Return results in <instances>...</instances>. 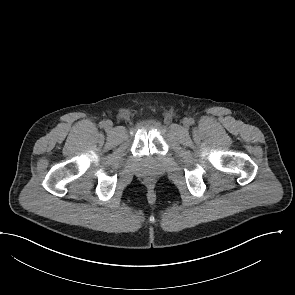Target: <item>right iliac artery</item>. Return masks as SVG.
I'll return each instance as SVG.
<instances>
[{"label":"right iliac artery","mask_w":295,"mask_h":295,"mask_svg":"<svg viewBox=\"0 0 295 295\" xmlns=\"http://www.w3.org/2000/svg\"><path fill=\"white\" fill-rule=\"evenodd\" d=\"M101 128L102 127H104L105 126V122L104 121H102V122H100V125H99Z\"/></svg>","instance_id":"right-iliac-artery-1"}]
</instances>
